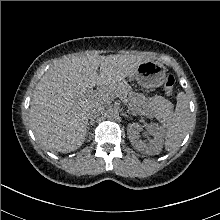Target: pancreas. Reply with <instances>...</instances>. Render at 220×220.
<instances>
[{
    "label": "pancreas",
    "mask_w": 220,
    "mask_h": 220,
    "mask_svg": "<svg viewBox=\"0 0 220 220\" xmlns=\"http://www.w3.org/2000/svg\"><path fill=\"white\" fill-rule=\"evenodd\" d=\"M118 93L120 95H123L124 97H127L128 86L125 83H123L121 87L118 89L117 93L110 91L107 96V101L115 97V95ZM151 104L153 106V110L155 111L157 118L160 119L162 122H169L170 117L172 115L171 112V109L173 108L172 103L164 98H158V99H154Z\"/></svg>",
    "instance_id": "cf45deb5"
}]
</instances>
